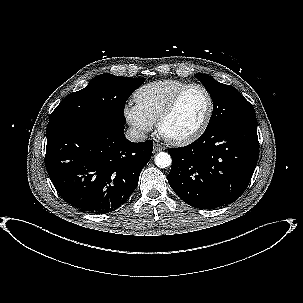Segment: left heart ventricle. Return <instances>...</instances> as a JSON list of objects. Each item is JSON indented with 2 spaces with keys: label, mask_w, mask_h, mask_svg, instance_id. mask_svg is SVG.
Masks as SVG:
<instances>
[{
  "label": "left heart ventricle",
  "mask_w": 303,
  "mask_h": 303,
  "mask_svg": "<svg viewBox=\"0 0 303 303\" xmlns=\"http://www.w3.org/2000/svg\"><path fill=\"white\" fill-rule=\"evenodd\" d=\"M207 108L205 94L198 88L190 89L173 115L165 122L164 133L170 137H182L192 133L202 122Z\"/></svg>",
  "instance_id": "obj_1"
}]
</instances>
